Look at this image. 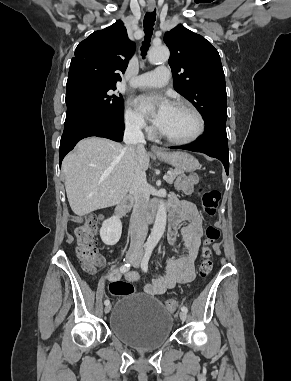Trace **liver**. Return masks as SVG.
I'll use <instances>...</instances> for the list:
<instances>
[{
  "instance_id": "obj_1",
  "label": "liver",
  "mask_w": 291,
  "mask_h": 381,
  "mask_svg": "<svg viewBox=\"0 0 291 381\" xmlns=\"http://www.w3.org/2000/svg\"><path fill=\"white\" fill-rule=\"evenodd\" d=\"M132 147L104 138L81 140L63 162L65 188L72 211L84 216L119 204L130 190L134 176ZM139 164L145 172L149 155L144 150Z\"/></svg>"
}]
</instances>
